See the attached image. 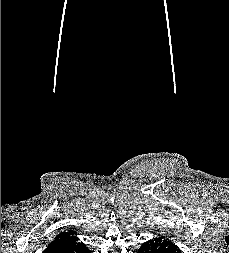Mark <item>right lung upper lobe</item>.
<instances>
[{
  "instance_id": "cb5924a9",
  "label": "right lung upper lobe",
  "mask_w": 229,
  "mask_h": 253,
  "mask_svg": "<svg viewBox=\"0 0 229 253\" xmlns=\"http://www.w3.org/2000/svg\"><path fill=\"white\" fill-rule=\"evenodd\" d=\"M77 240L78 238L76 236V231L69 230V231L62 232L56 236V238L48 245L45 251L53 250V249L68 245ZM45 251L43 253H45Z\"/></svg>"
}]
</instances>
